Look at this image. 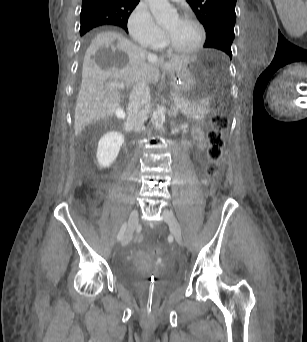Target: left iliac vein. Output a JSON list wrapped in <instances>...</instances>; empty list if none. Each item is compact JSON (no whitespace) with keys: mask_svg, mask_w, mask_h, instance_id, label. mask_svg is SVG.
Wrapping results in <instances>:
<instances>
[{"mask_svg":"<svg viewBox=\"0 0 307 342\" xmlns=\"http://www.w3.org/2000/svg\"><path fill=\"white\" fill-rule=\"evenodd\" d=\"M162 215H163V219L168 224L170 231L173 234L176 242L181 245L182 244V232H181V227L177 218L175 217L173 212L168 211V210H164Z\"/></svg>","mask_w":307,"mask_h":342,"instance_id":"4c4485c4","label":"left iliac vein"}]
</instances>
